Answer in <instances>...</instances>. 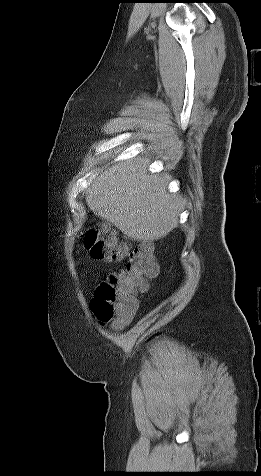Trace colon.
Listing matches in <instances>:
<instances>
[{
  "mask_svg": "<svg viewBox=\"0 0 261 476\" xmlns=\"http://www.w3.org/2000/svg\"><path fill=\"white\" fill-rule=\"evenodd\" d=\"M84 243L95 259L125 260L124 266L98 287L91 302V309L101 323L120 328L135 315L137 294L144 292L149 280L158 274L154 246L144 241L131 249L103 228L89 230Z\"/></svg>",
  "mask_w": 261,
  "mask_h": 476,
  "instance_id": "1",
  "label": "colon"
}]
</instances>
